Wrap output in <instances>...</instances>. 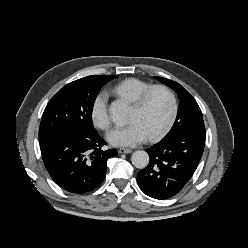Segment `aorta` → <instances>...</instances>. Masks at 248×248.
<instances>
[{"label":"aorta","instance_id":"obj_1","mask_svg":"<svg viewBox=\"0 0 248 248\" xmlns=\"http://www.w3.org/2000/svg\"><path fill=\"white\" fill-rule=\"evenodd\" d=\"M129 113L128 105L121 101L116 100L110 105V114L116 121H125ZM132 164L139 169L145 168L149 163V155L146 151L137 150L131 156Z\"/></svg>","mask_w":248,"mask_h":248}]
</instances>
